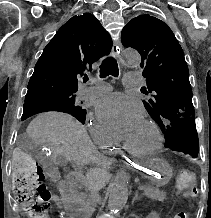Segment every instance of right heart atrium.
<instances>
[{
    "label": "right heart atrium",
    "instance_id": "right-heart-atrium-1",
    "mask_svg": "<svg viewBox=\"0 0 211 218\" xmlns=\"http://www.w3.org/2000/svg\"><path fill=\"white\" fill-rule=\"evenodd\" d=\"M89 130L92 138L98 146L104 147L113 143V139L111 138L109 133L105 129L100 127L96 122L90 121Z\"/></svg>",
    "mask_w": 211,
    "mask_h": 218
}]
</instances>
